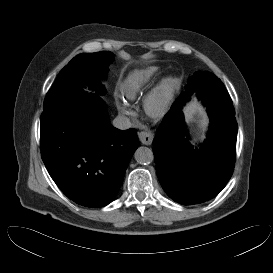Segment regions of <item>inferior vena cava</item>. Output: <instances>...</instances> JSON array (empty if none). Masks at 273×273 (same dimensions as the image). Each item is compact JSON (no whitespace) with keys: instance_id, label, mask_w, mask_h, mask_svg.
Wrapping results in <instances>:
<instances>
[{"instance_id":"inferior-vena-cava-1","label":"inferior vena cava","mask_w":273,"mask_h":273,"mask_svg":"<svg viewBox=\"0 0 273 273\" xmlns=\"http://www.w3.org/2000/svg\"><path fill=\"white\" fill-rule=\"evenodd\" d=\"M113 126L121 129V130H126L129 129L131 127V122L130 119L125 117V116H117L114 120H113Z\"/></svg>"}]
</instances>
